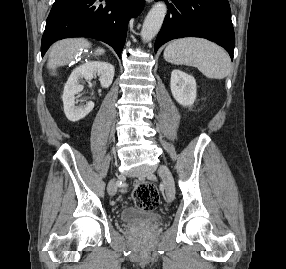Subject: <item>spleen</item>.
Segmentation results:
<instances>
[{
  "label": "spleen",
  "instance_id": "3e777b00",
  "mask_svg": "<svg viewBox=\"0 0 286 269\" xmlns=\"http://www.w3.org/2000/svg\"><path fill=\"white\" fill-rule=\"evenodd\" d=\"M163 56L173 64L197 67L209 79H223L231 71L226 51L206 39H176L167 45Z\"/></svg>",
  "mask_w": 286,
  "mask_h": 269
}]
</instances>
